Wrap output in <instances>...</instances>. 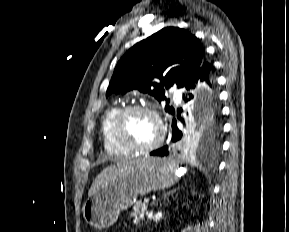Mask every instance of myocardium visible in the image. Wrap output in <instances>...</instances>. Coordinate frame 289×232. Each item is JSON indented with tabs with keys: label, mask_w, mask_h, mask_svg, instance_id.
Here are the masks:
<instances>
[{
	"label": "myocardium",
	"mask_w": 289,
	"mask_h": 232,
	"mask_svg": "<svg viewBox=\"0 0 289 232\" xmlns=\"http://www.w3.org/2000/svg\"><path fill=\"white\" fill-rule=\"evenodd\" d=\"M134 112H144L151 115L157 122L159 135L157 140L148 146H138L131 143L125 136L124 125L126 118ZM113 137L117 144L129 153L147 154L157 150L165 138V128L159 113L151 106L142 104L128 105L120 109L113 123Z\"/></svg>",
	"instance_id": "f54148a6"
}]
</instances>
